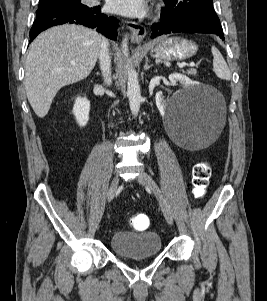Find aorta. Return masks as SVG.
Wrapping results in <instances>:
<instances>
[{"label":"aorta","mask_w":267,"mask_h":301,"mask_svg":"<svg viewBox=\"0 0 267 301\" xmlns=\"http://www.w3.org/2000/svg\"><path fill=\"white\" fill-rule=\"evenodd\" d=\"M122 52L126 58H128V38L125 37L122 41ZM126 72L128 76L127 82V95L129 98L130 110L133 114H137L140 109L141 103V92L138 82V77L136 71L130 67L129 64L126 65Z\"/></svg>","instance_id":"obj_1"}]
</instances>
